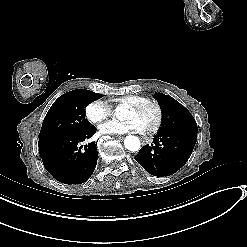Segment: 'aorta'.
Returning a JSON list of instances; mask_svg holds the SVG:
<instances>
[{
	"mask_svg": "<svg viewBox=\"0 0 247 247\" xmlns=\"http://www.w3.org/2000/svg\"><path fill=\"white\" fill-rule=\"evenodd\" d=\"M126 112L127 108L123 105H119L116 107L115 115L119 120H123ZM140 145V140L136 136L129 135L124 140L125 148L132 152L138 151L140 149Z\"/></svg>",
	"mask_w": 247,
	"mask_h": 247,
	"instance_id": "aorta-1",
	"label": "aorta"
}]
</instances>
